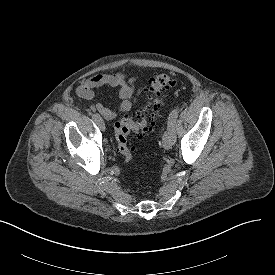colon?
Listing matches in <instances>:
<instances>
[{
	"label": "colon",
	"instance_id": "obj_1",
	"mask_svg": "<svg viewBox=\"0 0 275 275\" xmlns=\"http://www.w3.org/2000/svg\"><path fill=\"white\" fill-rule=\"evenodd\" d=\"M174 85L175 81L170 75L164 73L154 75L147 86V101L144 106L115 123L117 149L126 163L134 160V149L128 145L129 136L143 137L152 130L158 109L162 104L160 98Z\"/></svg>",
	"mask_w": 275,
	"mask_h": 275
}]
</instances>
